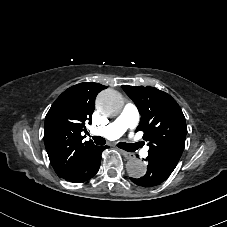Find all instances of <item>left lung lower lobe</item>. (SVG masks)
I'll return each instance as SVG.
<instances>
[{"instance_id":"1","label":"left lung lower lobe","mask_w":227,"mask_h":227,"mask_svg":"<svg viewBox=\"0 0 227 227\" xmlns=\"http://www.w3.org/2000/svg\"><path fill=\"white\" fill-rule=\"evenodd\" d=\"M149 164L146 174L141 178H130L134 183L144 187H152L159 185L166 180L174 168L168 164H164L155 158L147 157Z\"/></svg>"}]
</instances>
